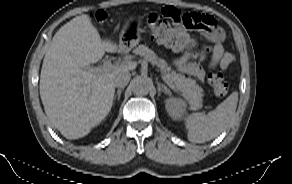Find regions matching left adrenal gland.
Masks as SVG:
<instances>
[{
	"label": "left adrenal gland",
	"instance_id": "obj_1",
	"mask_svg": "<svg viewBox=\"0 0 292 184\" xmlns=\"http://www.w3.org/2000/svg\"><path fill=\"white\" fill-rule=\"evenodd\" d=\"M158 85V96L161 95V93L163 92L164 94L169 93V90L167 89L166 86H163L161 83L157 82Z\"/></svg>",
	"mask_w": 292,
	"mask_h": 184
}]
</instances>
